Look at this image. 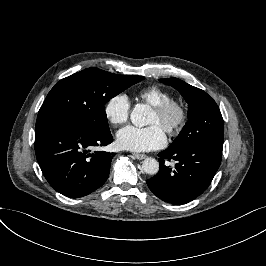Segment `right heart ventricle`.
I'll return each mask as SVG.
<instances>
[{"instance_id":"1","label":"right heart ventricle","mask_w":266,"mask_h":266,"mask_svg":"<svg viewBox=\"0 0 266 266\" xmlns=\"http://www.w3.org/2000/svg\"><path fill=\"white\" fill-rule=\"evenodd\" d=\"M137 98L154 107L172 98V94L163 87L152 85L140 89L137 92Z\"/></svg>"}]
</instances>
